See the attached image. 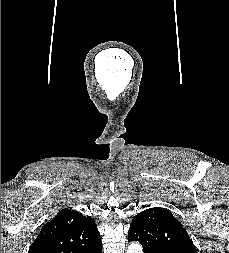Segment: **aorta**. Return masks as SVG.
<instances>
[{"instance_id": "aorta-1", "label": "aorta", "mask_w": 229, "mask_h": 253, "mask_svg": "<svg viewBox=\"0 0 229 253\" xmlns=\"http://www.w3.org/2000/svg\"><path fill=\"white\" fill-rule=\"evenodd\" d=\"M126 253H143V249L139 243L133 242L128 246Z\"/></svg>"}]
</instances>
